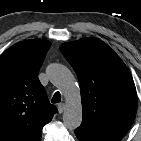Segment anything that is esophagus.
Segmentation results:
<instances>
[{
  "label": "esophagus",
  "instance_id": "1",
  "mask_svg": "<svg viewBox=\"0 0 141 141\" xmlns=\"http://www.w3.org/2000/svg\"><path fill=\"white\" fill-rule=\"evenodd\" d=\"M59 113H63L65 111L66 105L64 103H59L57 105Z\"/></svg>",
  "mask_w": 141,
  "mask_h": 141
}]
</instances>
